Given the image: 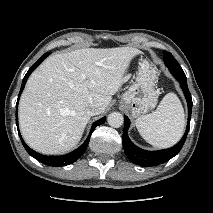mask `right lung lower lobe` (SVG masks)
<instances>
[{"label": "right lung lower lobe", "instance_id": "obj_1", "mask_svg": "<svg viewBox=\"0 0 213 213\" xmlns=\"http://www.w3.org/2000/svg\"><path fill=\"white\" fill-rule=\"evenodd\" d=\"M49 52L45 53L37 62H35L31 68L28 70V72L26 73L25 77L23 78L22 81V85H21V89H20V93L19 96L22 92V90L24 89L25 83L29 77V75L32 73V71L47 57L49 56ZM18 96V99H19ZM17 106H18V101L16 104V125L18 126V118H17ZM106 120V117L101 118L100 120L94 122V124L92 125V128L90 130V133L87 137V139L85 140V142L75 151L67 154V155H63V156H45L42 154H39L37 152H35L34 150H32L31 148H29L27 146V144L24 142V140L22 139L19 129H18V133L20 136V139L22 141V144L24 146V148L26 149V151L32 156L34 157L36 160H38L39 162L48 165V166H53V167H58V166H66L69 165L73 162H75L76 160H78L81 155L85 152L88 144H89V140H90V136L92 134V132L95 130V128L100 125L103 124Z\"/></svg>", "mask_w": 213, "mask_h": 213}]
</instances>
